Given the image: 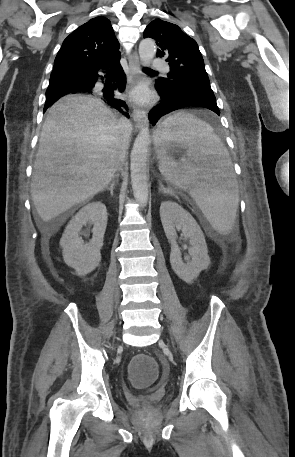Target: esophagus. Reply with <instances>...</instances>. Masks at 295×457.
I'll use <instances>...</instances> for the list:
<instances>
[{
    "label": "esophagus",
    "instance_id": "1",
    "mask_svg": "<svg viewBox=\"0 0 295 457\" xmlns=\"http://www.w3.org/2000/svg\"><path fill=\"white\" fill-rule=\"evenodd\" d=\"M129 70L132 81L141 73L139 58L136 52H132L129 55ZM132 115L138 129L148 124L146 111L134 107Z\"/></svg>",
    "mask_w": 295,
    "mask_h": 457
}]
</instances>
